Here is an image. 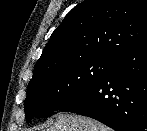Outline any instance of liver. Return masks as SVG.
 I'll return each instance as SVG.
<instances>
[{
    "instance_id": "1",
    "label": "liver",
    "mask_w": 147,
    "mask_h": 131,
    "mask_svg": "<svg viewBox=\"0 0 147 131\" xmlns=\"http://www.w3.org/2000/svg\"><path fill=\"white\" fill-rule=\"evenodd\" d=\"M47 131H110V129L88 117L58 113L54 125Z\"/></svg>"
}]
</instances>
